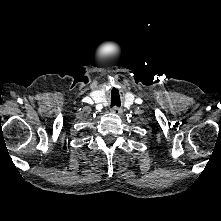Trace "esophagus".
Returning <instances> with one entry per match:
<instances>
[{"instance_id": "obj_1", "label": "esophagus", "mask_w": 221, "mask_h": 221, "mask_svg": "<svg viewBox=\"0 0 221 221\" xmlns=\"http://www.w3.org/2000/svg\"><path fill=\"white\" fill-rule=\"evenodd\" d=\"M112 112L114 114H121L122 113V109L115 106V107L112 108Z\"/></svg>"}]
</instances>
